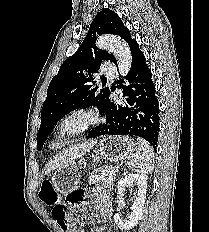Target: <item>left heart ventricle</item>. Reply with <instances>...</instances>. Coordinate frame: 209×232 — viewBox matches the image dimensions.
<instances>
[{"instance_id":"left-heart-ventricle-1","label":"left heart ventricle","mask_w":209,"mask_h":232,"mask_svg":"<svg viewBox=\"0 0 209 232\" xmlns=\"http://www.w3.org/2000/svg\"><path fill=\"white\" fill-rule=\"evenodd\" d=\"M78 124H80V120H75L70 123V126H77Z\"/></svg>"}]
</instances>
